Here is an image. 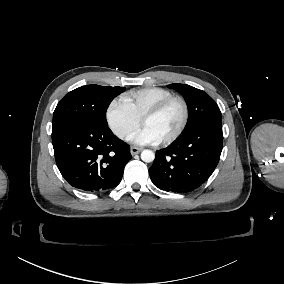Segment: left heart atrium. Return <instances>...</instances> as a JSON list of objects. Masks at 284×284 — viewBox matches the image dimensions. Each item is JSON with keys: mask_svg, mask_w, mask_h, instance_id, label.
<instances>
[{"mask_svg": "<svg viewBox=\"0 0 284 284\" xmlns=\"http://www.w3.org/2000/svg\"><path fill=\"white\" fill-rule=\"evenodd\" d=\"M129 141L135 145H155L160 142L155 134L146 127L133 132L129 137Z\"/></svg>", "mask_w": 284, "mask_h": 284, "instance_id": "left-heart-atrium-1", "label": "left heart atrium"}]
</instances>
